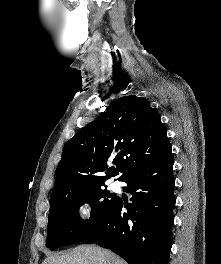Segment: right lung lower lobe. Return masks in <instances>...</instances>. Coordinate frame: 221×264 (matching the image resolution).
I'll return each instance as SVG.
<instances>
[{
  "label": "right lung lower lobe",
  "instance_id": "1",
  "mask_svg": "<svg viewBox=\"0 0 221 264\" xmlns=\"http://www.w3.org/2000/svg\"><path fill=\"white\" fill-rule=\"evenodd\" d=\"M122 181L132 194L131 203L118 198L80 242L108 248L129 264H168L175 205L172 154Z\"/></svg>",
  "mask_w": 221,
  "mask_h": 264
}]
</instances>
